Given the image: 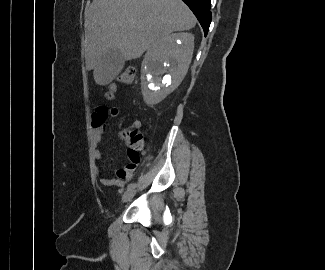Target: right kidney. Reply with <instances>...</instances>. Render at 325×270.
Here are the masks:
<instances>
[{
  "instance_id": "ca27d5eb",
  "label": "right kidney",
  "mask_w": 325,
  "mask_h": 270,
  "mask_svg": "<svg viewBox=\"0 0 325 270\" xmlns=\"http://www.w3.org/2000/svg\"><path fill=\"white\" fill-rule=\"evenodd\" d=\"M194 36L175 33L159 40L144 56L142 95L148 105H155L173 92L184 79L191 63ZM164 74H167L163 77Z\"/></svg>"
}]
</instances>
